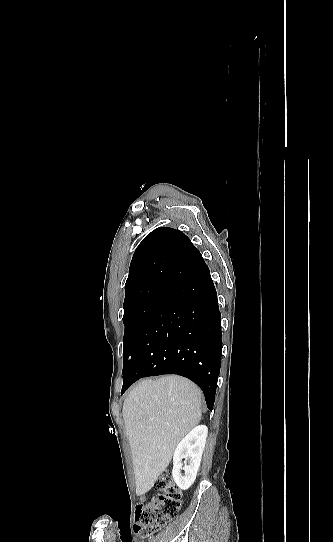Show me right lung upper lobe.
Listing matches in <instances>:
<instances>
[{"mask_svg": "<svg viewBox=\"0 0 333 542\" xmlns=\"http://www.w3.org/2000/svg\"><path fill=\"white\" fill-rule=\"evenodd\" d=\"M172 248L199 252L185 234L169 227L157 228L141 241L130 264L124 309L153 295L168 293L187 276L162 259L163 252Z\"/></svg>", "mask_w": 333, "mask_h": 542, "instance_id": "right-lung-upper-lobe-1", "label": "right lung upper lobe"}]
</instances>
